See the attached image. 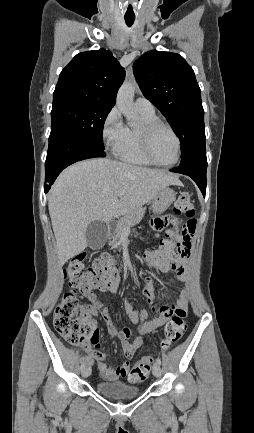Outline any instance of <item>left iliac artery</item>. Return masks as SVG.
Masks as SVG:
<instances>
[{
  "mask_svg": "<svg viewBox=\"0 0 254 433\" xmlns=\"http://www.w3.org/2000/svg\"><path fill=\"white\" fill-rule=\"evenodd\" d=\"M156 362H157L158 364H161V359L158 357V358L156 359Z\"/></svg>",
  "mask_w": 254,
  "mask_h": 433,
  "instance_id": "1",
  "label": "left iliac artery"
}]
</instances>
